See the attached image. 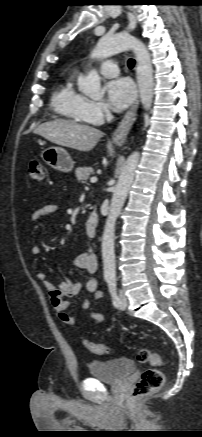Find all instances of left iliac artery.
Segmentation results:
<instances>
[{"label":"left iliac artery","mask_w":202,"mask_h":437,"mask_svg":"<svg viewBox=\"0 0 202 437\" xmlns=\"http://www.w3.org/2000/svg\"><path fill=\"white\" fill-rule=\"evenodd\" d=\"M108 288L110 295L112 297V302L115 307H118L120 304L119 297L117 295V287H116V279L115 277H110L107 279Z\"/></svg>","instance_id":"left-iliac-artery-1"}]
</instances>
